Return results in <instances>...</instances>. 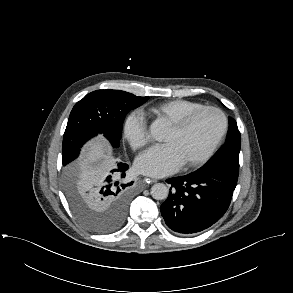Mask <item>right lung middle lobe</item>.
Segmentation results:
<instances>
[{
  "mask_svg": "<svg viewBox=\"0 0 293 293\" xmlns=\"http://www.w3.org/2000/svg\"><path fill=\"white\" fill-rule=\"evenodd\" d=\"M148 99L120 90H97L77 102L70 113L62 145L64 186L73 212L93 231H112L121 225L123 219L100 213L87 205L83 186L99 173L72 168L70 163L78 157L83 144L98 134H103L113 147H119L126 114Z\"/></svg>",
  "mask_w": 293,
  "mask_h": 293,
  "instance_id": "dd1d6c3e",
  "label": "right lung middle lobe"
}]
</instances>
